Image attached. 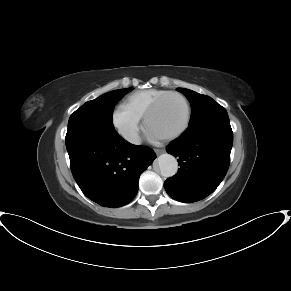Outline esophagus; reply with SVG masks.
<instances>
[{
	"instance_id": "obj_1",
	"label": "esophagus",
	"mask_w": 291,
	"mask_h": 291,
	"mask_svg": "<svg viewBox=\"0 0 291 291\" xmlns=\"http://www.w3.org/2000/svg\"><path fill=\"white\" fill-rule=\"evenodd\" d=\"M164 152H165L164 149H155V153H156L157 155H160V154H162V153H164Z\"/></svg>"
}]
</instances>
